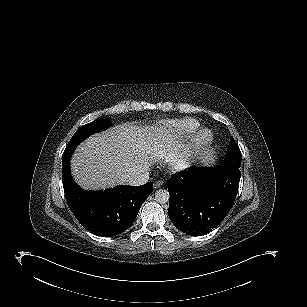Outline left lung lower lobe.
<instances>
[{"label":"left lung lower lobe","instance_id":"1","mask_svg":"<svg viewBox=\"0 0 307 307\" xmlns=\"http://www.w3.org/2000/svg\"><path fill=\"white\" fill-rule=\"evenodd\" d=\"M240 170L227 166L192 167L170 178L169 217L192 236L209 233L224 220L236 198Z\"/></svg>","mask_w":307,"mask_h":307}]
</instances>
